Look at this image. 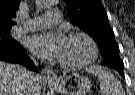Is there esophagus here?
I'll return each mask as SVG.
<instances>
[{"label":"esophagus","mask_w":135,"mask_h":95,"mask_svg":"<svg viewBox=\"0 0 135 95\" xmlns=\"http://www.w3.org/2000/svg\"><path fill=\"white\" fill-rule=\"evenodd\" d=\"M42 76L46 82L49 83L57 82V76L55 72L50 68L42 69Z\"/></svg>","instance_id":"34e87169"}]
</instances>
